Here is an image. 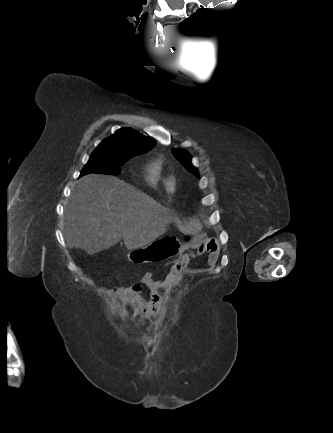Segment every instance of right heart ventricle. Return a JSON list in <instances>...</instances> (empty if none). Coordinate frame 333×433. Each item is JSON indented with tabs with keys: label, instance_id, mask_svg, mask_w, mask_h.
Listing matches in <instances>:
<instances>
[{
	"label": "right heart ventricle",
	"instance_id": "e07e8e85",
	"mask_svg": "<svg viewBox=\"0 0 333 433\" xmlns=\"http://www.w3.org/2000/svg\"><path fill=\"white\" fill-rule=\"evenodd\" d=\"M142 171L148 186L154 189L163 188L167 192H170L167 186V181L170 176L165 171L162 158L155 157L146 160L142 164Z\"/></svg>",
	"mask_w": 333,
	"mask_h": 433
}]
</instances>
